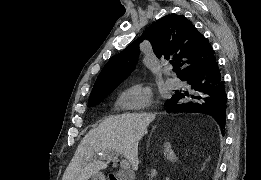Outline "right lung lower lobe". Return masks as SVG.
Here are the masks:
<instances>
[{"instance_id":"right-lung-lower-lobe-1","label":"right lung lower lobe","mask_w":261,"mask_h":180,"mask_svg":"<svg viewBox=\"0 0 261 180\" xmlns=\"http://www.w3.org/2000/svg\"><path fill=\"white\" fill-rule=\"evenodd\" d=\"M181 80L187 81L193 92H175L166 102L167 112L208 114L216 120L224 134L227 94L217 62L195 69Z\"/></svg>"}]
</instances>
